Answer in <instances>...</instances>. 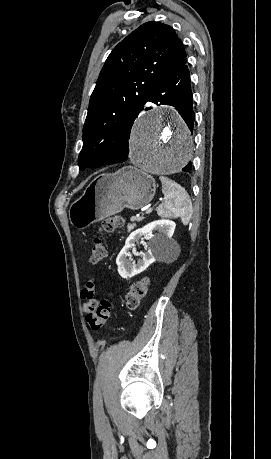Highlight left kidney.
Returning a JSON list of instances; mask_svg holds the SVG:
<instances>
[{
	"mask_svg": "<svg viewBox=\"0 0 271 459\" xmlns=\"http://www.w3.org/2000/svg\"><path fill=\"white\" fill-rule=\"evenodd\" d=\"M153 229H157L159 233H153ZM175 229L174 222L171 220H156V222H150L143 228L135 229L130 235H128L124 247H122L120 253L117 255L116 263L118 265V271L121 277L129 279L137 273L144 271L150 263L156 261L155 255L159 253H165V251H174L175 247H170L171 235ZM146 235L150 237L148 241L149 251H146L145 255H142V259H138L137 263L133 259H127L130 255V247L135 245V241ZM155 253V255H154Z\"/></svg>",
	"mask_w": 271,
	"mask_h": 459,
	"instance_id": "5707ae66",
	"label": "left kidney"
}]
</instances>
